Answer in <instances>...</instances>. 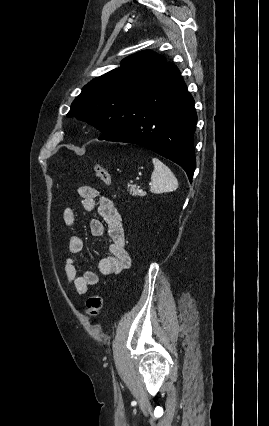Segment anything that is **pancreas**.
<instances>
[{"label":"pancreas","mask_w":269,"mask_h":426,"mask_svg":"<svg viewBox=\"0 0 269 426\" xmlns=\"http://www.w3.org/2000/svg\"><path fill=\"white\" fill-rule=\"evenodd\" d=\"M128 190L132 196H144V193H140L135 185H128Z\"/></svg>","instance_id":"obj_1"}]
</instances>
